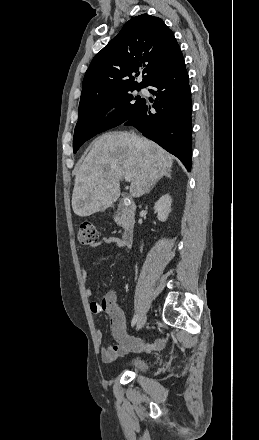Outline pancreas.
I'll use <instances>...</instances> for the list:
<instances>
[{
	"instance_id": "1",
	"label": "pancreas",
	"mask_w": 259,
	"mask_h": 440,
	"mask_svg": "<svg viewBox=\"0 0 259 440\" xmlns=\"http://www.w3.org/2000/svg\"><path fill=\"white\" fill-rule=\"evenodd\" d=\"M119 225H122V227H125V220L124 219H120V221H118Z\"/></svg>"
}]
</instances>
